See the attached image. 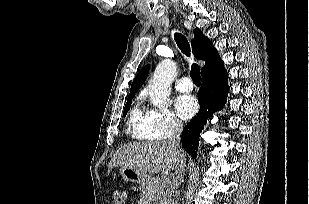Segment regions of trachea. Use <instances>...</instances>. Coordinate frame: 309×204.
Instances as JSON below:
<instances>
[{
	"instance_id": "trachea-1",
	"label": "trachea",
	"mask_w": 309,
	"mask_h": 204,
	"mask_svg": "<svg viewBox=\"0 0 309 204\" xmlns=\"http://www.w3.org/2000/svg\"><path fill=\"white\" fill-rule=\"evenodd\" d=\"M174 38L181 52L186 56H190V46L187 39L179 33H175ZM190 76L196 85H200V67L195 63H193L191 66Z\"/></svg>"
}]
</instances>
